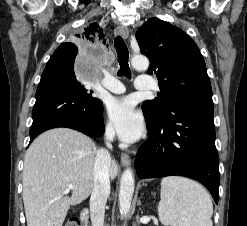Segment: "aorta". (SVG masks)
<instances>
[{
    "label": "aorta",
    "instance_id": "1",
    "mask_svg": "<svg viewBox=\"0 0 247 226\" xmlns=\"http://www.w3.org/2000/svg\"><path fill=\"white\" fill-rule=\"evenodd\" d=\"M131 64L137 70H146L149 67V60L145 56L137 55L132 58ZM133 193L134 177L132 170L129 168L123 172L120 182L119 205L121 214L129 212Z\"/></svg>",
    "mask_w": 247,
    "mask_h": 226
}]
</instances>
